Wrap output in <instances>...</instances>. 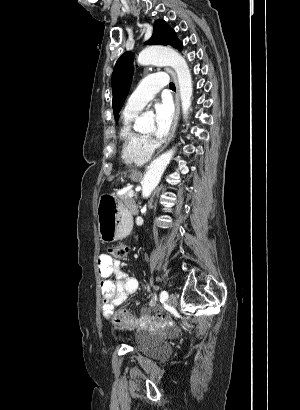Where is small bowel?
I'll return each instance as SVG.
<instances>
[{
  "mask_svg": "<svg viewBox=\"0 0 300 410\" xmlns=\"http://www.w3.org/2000/svg\"><path fill=\"white\" fill-rule=\"evenodd\" d=\"M100 276V289L103 296L102 315L110 318L129 295L138 288L136 278L120 268V262L109 254H100L97 263Z\"/></svg>",
  "mask_w": 300,
  "mask_h": 410,
  "instance_id": "1",
  "label": "small bowel"
}]
</instances>
